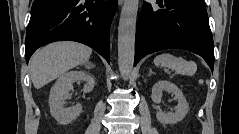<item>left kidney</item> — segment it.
<instances>
[{
	"label": "left kidney",
	"mask_w": 239,
	"mask_h": 134,
	"mask_svg": "<svg viewBox=\"0 0 239 134\" xmlns=\"http://www.w3.org/2000/svg\"><path fill=\"white\" fill-rule=\"evenodd\" d=\"M163 91L171 93L174 95V98L178 100L177 106L174 108L172 112H163L158 111L156 114L157 120L161 124H176L182 121L189 111V105L184 97L182 91L172 82L166 80H160L154 84L152 87L151 98L154 103H160Z\"/></svg>",
	"instance_id": "5707ae66"
}]
</instances>
